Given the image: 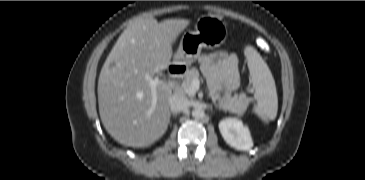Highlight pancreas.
Listing matches in <instances>:
<instances>
[{
  "label": "pancreas",
  "instance_id": "pancreas-1",
  "mask_svg": "<svg viewBox=\"0 0 365 180\" xmlns=\"http://www.w3.org/2000/svg\"><path fill=\"white\" fill-rule=\"evenodd\" d=\"M200 73L197 68L193 67L188 70L185 74V79L183 81V85L185 87H189L194 79H199ZM249 103V99L241 94L239 96L228 97L226 99H222L220 102V107L224 110H229L234 113H243Z\"/></svg>",
  "mask_w": 365,
  "mask_h": 180
}]
</instances>
